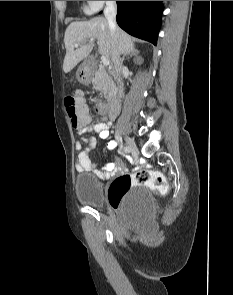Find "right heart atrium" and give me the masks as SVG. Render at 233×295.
Returning <instances> with one entry per match:
<instances>
[{
    "mask_svg": "<svg viewBox=\"0 0 233 295\" xmlns=\"http://www.w3.org/2000/svg\"><path fill=\"white\" fill-rule=\"evenodd\" d=\"M112 1H84V11L87 14H93L99 11L106 3Z\"/></svg>",
    "mask_w": 233,
    "mask_h": 295,
    "instance_id": "right-heart-atrium-1",
    "label": "right heart atrium"
}]
</instances>
